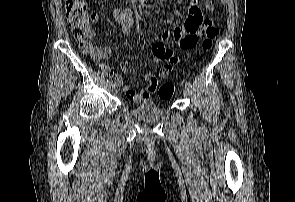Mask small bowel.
<instances>
[{
    "mask_svg": "<svg viewBox=\"0 0 295 202\" xmlns=\"http://www.w3.org/2000/svg\"><path fill=\"white\" fill-rule=\"evenodd\" d=\"M203 5L206 11L213 12L215 9L213 0H204ZM189 15L183 26H175L172 28H166L161 34L160 42L149 43L151 48V60H154V64L164 62L165 65L160 71L161 78H167L171 73L174 65L179 62V57L174 51V47H179L184 50L192 49L197 42L198 32L206 26L208 23H213L211 17H204L198 0H192L189 6ZM112 16L117 23L121 25L124 35L131 33L132 27L135 23L134 18L129 10L115 8L112 10ZM92 21H97L99 18L98 12L93 11L90 14ZM92 49L89 51L93 58L101 60L108 58L112 54V50L106 46H90ZM84 52H87L84 50ZM128 64L124 62L122 67L126 69ZM105 72L112 78V80L118 85L122 86V90L126 96L134 103H140L148 100L155 90H149L147 86L144 90L135 92L124 83V77L109 67L104 68ZM146 79H156L155 75H145Z\"/></svg>",
    "mask_w": 295,
    "mask_h": 202,
    "instance_id": "small-bowel-1",
    "label": "small bowel"
}]
</instances>
